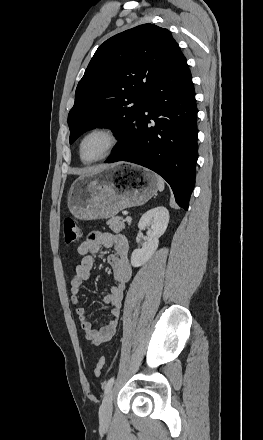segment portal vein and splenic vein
Returning a JSON list of instances; mask_svg holds the SVG:
<instances>
[{
	"mask_svg": "<svg viewBox=\"0 0 263 440\" xmlns=\"http://www.w3.org/2000/svg\"><path fill=\"white\" fill-rule=\"evenodd\" d=\"M125 221H127V222H131V221H132V218H131L130 216H126Z\"/></svg>",
	"mask_w": 263,
	"mask_h": 440,
	"instance_id": "1",
	"label": "portal vein and splenic vein"
}]
</instances>
